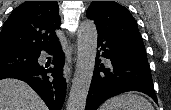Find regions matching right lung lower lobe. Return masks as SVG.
Returning a JSON list of instances; mask_svg holds the SVG:
<instances>
[{"label":"right lung lower lobe","mask_w":171,"mask_h":110,"mask_svg":"<svg viewBox=\"0 0 171 110\" xmlns=\"http://www.w3.org/2000/svg\"><path fill=\"white\" fill-rule=\"evenodd\" d=\"M45 50L54 54L50 63L0 71V80L4 78H16L28 83L44 100L50 110H61L66 95V82L63 78V66L65 56L59 42ZM40 56V51L37 53Z\"/></svg>","instance_id":"right-lung-lower-lobe-1"}]
</instances>
